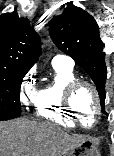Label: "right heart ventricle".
Returning <instances> with one entry per match:
<instances>
[{
    "mask_svg": "<svg viewBox=\"0 0 114 156\" xmlns=\"http://www.w3.org/2000/svg\"><path fill=\"white\" fill-rule=\"evenodd\" d=\"M53 69V78L38 90L34 99L36 113L47 121L74 128L77 123L65 108L64 96L67 86L78 78L73 67L53 65Z\"/></svg>",
    "mask_w": 114,
    "mask_h": 156,
    "instance_id": "obj_1",
    "label": "right heart ventricle"
}]
</instances>
